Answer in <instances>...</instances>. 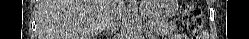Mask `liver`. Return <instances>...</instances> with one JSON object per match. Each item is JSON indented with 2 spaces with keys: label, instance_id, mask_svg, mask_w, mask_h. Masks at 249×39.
Segmentation results:
<instances>
[{
  "label": "liver",
  "instance_id": "obj_1",
  "mask_svg": "<svg viewBox=\"0 0 249 39\" xmlns=\"http://www.w3.org/2000/svg\"><path fill=\"white\" fill-rule=\"evenodd\" d=\"M114 0H39L38 39H95ZM123 2L117 4L121 14Z\"/></svg>",
  "mask_w": 249,
  "mask_h": 39
}]
</instances>
